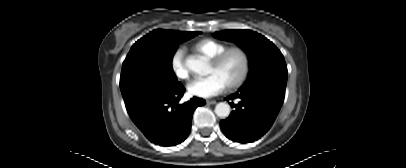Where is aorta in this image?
Returning a JSON list of instances; mask_svg holds the SVG:
<instances>
[{
	"mask_svg": "<svg viewBox=\"0 0 406 168\" xmlns=\"http://www.w3.org/2000/svg\"><path fill=\"white\" fill-rule=\"evenodd\" d=\"M186 67L201 76H204L208 73V63L203 57H194L191 56L186 59ZM215 114L220 118H226L230 114V106L227 103L220 102L215 107Z\"/></svg>",
	"mask_w": 406,
	"mask_h": 168,
	"instance_id": "aorta-1",
	"label": "aorta"
}]
</instances>
